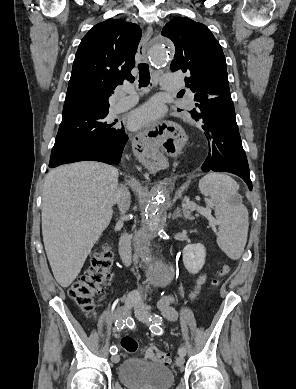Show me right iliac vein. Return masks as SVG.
Returning a JSON list of instances; mask_svg holds the SVG:
<instances>
[{"label": "right iliac vein", "instance_id": "obj_1", "mask_svg": "<svg viewBox=\"0 0 296 389\" xmlns=\"http://www.w3.org/2000/svg\"><path fill=\"white\" fill-rule=\"evenodd\" d=\"M137 298L135 297L134 294L129 293L124 297V304H125V311L124 315H127L129 310L134 306L136 303ZM111 360L113 363H118L120 360V356L118 354H115L111 357Z\"/></svg>", "mask_w": 296, "mask_h": 389}]
</instances>
